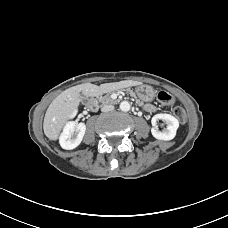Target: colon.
Masks as SVG:
<instances>
[{
	"label": "colon",
	"mask_w": 228,
	"mask_h": 228,
	"mask_svg": "<svg viewBox=\"0 0 228 228\" xmlns=\"http://www.w3.org/2000/svg\"><path fill=\"white\" fill-rule=\"evenodd\" d=\"M157 98L162 104L166 106H172L174 104L173 96L165 91L159 92ZM173 113L181 123H184L186 121V112L182 107H174Z\"/></svg>",
	"instance_id": "colon-1"
}]
</instances>
